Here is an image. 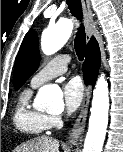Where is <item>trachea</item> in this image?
<instances>
[{
	"instance_id": "1",
	"label": "trachea",
	"mask_w": 123,
	"mask_h": 152,
	"mask_svg": "<svg viewBox=\"0 0 123 152\" xmlns=\"http://www.w3.org/2000/svg\"><path fill=\"white\" fill-rule=\"evenodd\" d=\"M67 4L72 16L76 17L78 20L81 21L82 20L81 0H67ZM77 30L78 31L74 39V46L79 60L82 61L86 50L85 29L81 24V27H79Z\"/></svg>"
}]
</instances>
